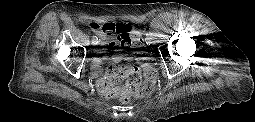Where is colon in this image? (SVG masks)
Segmentation results:
<instances>
[{
  "label": "colon",
  "mask_w": 255,
  "mask_h": 122,
  "mask_svg": "<svg viewBox=\"0 0 255 122\" xmlns=\"http://www.w3.org/2000/svg\"><path fill=\"white\" fill-rule=\"evenodd\" d=\"M93 30H102L107 34L115 33L125 38V45L133 46L143 54V40L138 31H133L127 23H106L99 25L90 24ZM142 69L135 66L111 65L98 85V90L103 96L114 97L120 94L123 103H129L131 96L145 97L150 95L156 84L157 71L153 65L142 56ZM124 84V90L117 87Z\"/></svg>",
  "instance_id": "5ec220e1"
}]
</instances>
